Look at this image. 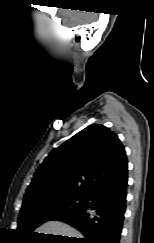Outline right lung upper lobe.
<instances>
[{
  "mask_svg": "<svg viewBox=\"0 0 154 243\" xmlns=\"http://www.w3.org/2000/svg\"><path fill=\"white\" fill-rule=\"evenodd\" d=\"M127 164L117 135L103 125H90L49 153L36 170L23 205L61 195L86 197Z\"/></svg>",
  "mask_w": 154,
  "mask_h": 243,
  "instance_id": "cb5924a9",
  "label": "right lung upper lobe"
}]
</instances>
